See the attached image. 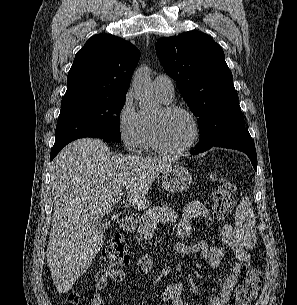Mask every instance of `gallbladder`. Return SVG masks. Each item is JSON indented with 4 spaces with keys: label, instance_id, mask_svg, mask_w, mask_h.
Segmentation results:
<instances>
[{
    "label": "gallbladder",
    "instance_id": "bac80fb5",
    "mask_svg": "<svg viewBox=\"0 0 297 305\" xmlns=\"http://www.w3.org/2000/svg\"><path fill=\"white\" fill-rule=\"evenodd\" d=\"M109 227V222L106 220L100 221L98 223V230L101 232H104L105 230H107Z\"/></svg>",
    "mask_w": 297,
    "mask_h": 305
}]
</instances>
